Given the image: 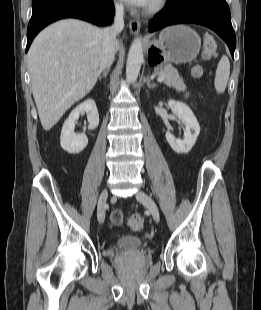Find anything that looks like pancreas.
<instances>
[{
	"label": "pancreas",
	"instance_id": "obj_1",
	"mask_svg": "<svg viewBox=\"0 0 261 310\" xmlns=\"http://www.w3.org/2000/svg\"><path fill=\"white\" fill-rule=\"evenodd\" d=\"M155 71L156 73H158L159 76L164 77L163 82L168 87H173L179 92L185 91L187 89L186 85L183 82V79L179 76L178 71L170 65H167L164 68H158Z\"/></svg>",
	"mask_w": 261,
	"mask_h": 310
}]
</instances>
